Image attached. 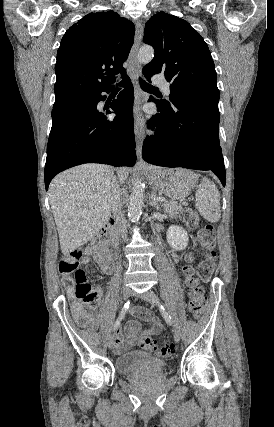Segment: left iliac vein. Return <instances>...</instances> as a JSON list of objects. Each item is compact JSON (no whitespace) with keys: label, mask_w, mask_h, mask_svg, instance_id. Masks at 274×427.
I'll return each instance as SVG.
<instances>
[{"label":"left iliac vein","mask_w":274,"mask_h":427,"mask_svg":"<svg viewBox=\"0 0 274 427\" xmlns=\"http://www.w3.org/2000/svg\"><path fill=\"white\" fill-rule=\"evenodd\" d=\"M132 295L135 297H139L140 299L145 300L153 305H157L159 303L158 296L152 291H147L144 294H138L136 292H132ZM173 337L175 342L178 343L180 340V333L178 329H174Z\"/></svg>","instance_id":"1"}]
</instances>
